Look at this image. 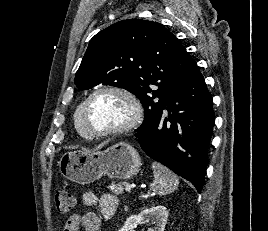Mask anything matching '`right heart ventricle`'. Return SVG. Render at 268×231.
<instances>
[{
	"mask_svg": "<svg viewBox=\"0 0 268 231\" xmlns=\"http://www.w3.org/2000/svg\"><path fill=\"white\" fill-rule=\"evenodd\" d=\"M73 120H74V127H75L76 131L82 137L88 138L87 132H86V129L84 127L83 120H82V104L77 106V108L74 112Z\"/></svg>",
	"mask_w": 268,
	"mask_h": 231,
	"instance_id": "right-heart-ventricle-1",
	"label": "right heart ventricle"
}]
</instances>
